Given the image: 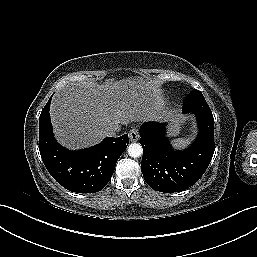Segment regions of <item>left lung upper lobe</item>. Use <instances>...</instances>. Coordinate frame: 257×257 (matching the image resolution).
<instances>
[{
	"instance_id": "obj_1",
	"label": "left lung upper lobe",
	"mask_w": 257,
	"mask_h": 257,
	"mask_svg": "<svg viewBox=\"0 0 257 257\" xmlns=\"http://www.w3.org/2000/svg\"><path fill=\"white\" fill-rule=\"evenodd\" d=\"M198 109L210 110L203 94L199 90L194 89L186 97L182 110L189 112Z\"/></svg>"
}]
</instances>
